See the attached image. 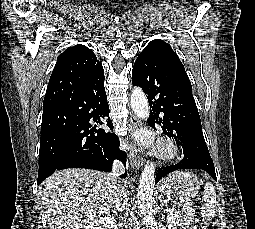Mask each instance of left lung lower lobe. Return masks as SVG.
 I'll list each match as a JSON object with an SVG mask.
<instances>
[{
    "label": "left lung lower lobe",
    "mask_w": 255,
    "mask_h": 229,
    "mask_svg": "<svg viewBox=\"0 0 255 229\" xmlns=\"http://www.w3.org/2000/svg\"><path fill=\"white\" fill-rule=\"evenodd\" d=\"M132 83L148 95V124L161 126L164 134L182 146L184 158L174 165H164L156 175V183L178 169H201L217 180L192 95V86L180 60L172 56L137 58ZM163 113V117H160Z\"/></svg>",
    "instance_id": "1"
}]
</instances>
